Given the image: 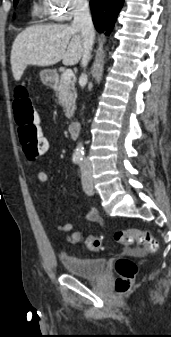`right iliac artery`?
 Segmentation results:
<instances>
[{
  "mask_svg": "<svg viewBox=\"0 0 171 337\" xmlns=\"http://www.w3.org/2000/svg\"><path fill=\"white\" fill-rule=\"evenodd\" d=\"M81 160H82V157H81V156H79V155H74V156H73V162H74L75 164L80 163Z\"/></svg>",
  "mask_w": 171,
  "mask_h": 337,
  "instance_id": "right-iliac-artery-1",
  "label": "right iliac artery"
}]
</instances>
